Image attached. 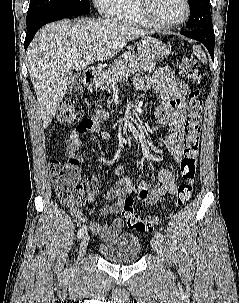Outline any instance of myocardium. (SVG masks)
<instances>
[{
  "label": "myocardium",
  "mask_w": 239,
  "mask_h": 303,
  "mask_svg": "<svg viewBox=\"0 0 239 303\" xmlns=\"http://www.w3.org/2000/svg\"><path fill=\"white\" fill-rule=\"evenodd\" d=\"M185 5V13L183 17L174 23L170 24H162L157 21H155L151 15V9H152V3L153 0H135L136 9L138 14L141 16V18L144 20V22L155 29L160 30H171L178 28L179 26L183 25L189 18L191 13V5L189 0H183Z\"/></svg>",
  "instance_id": "f54148a6"
}]
</instances>
